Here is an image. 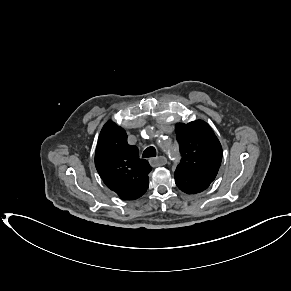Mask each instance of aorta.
Instances as JSON below:
<instances>
[{"label": "aorta", "instance_id": "762f6f07", "mask_svg": "<svg viewBox=\"0 0 291 291\" xmlns=\"http://www.w3.org/2000/svg\"><path fill=\"white\" fill-rule=\"evenodd\" d=\"M161 147L168 156L173 157L176 153V149L173 145H162Z\"/></svg>", "mask_w": 291, "mask_h": 291}]
</instances>
